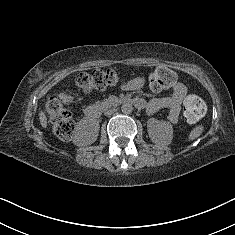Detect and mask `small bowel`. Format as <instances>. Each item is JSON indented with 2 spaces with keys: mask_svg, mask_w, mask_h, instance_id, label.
I'll list each match as a JSON object with an SVG mask.
<instances>
[{
  "mask_svg": "<svg viewBox=\"0 0 235 235\" xmlns=\"http://www.w3.org/2000/svg\"><path fill=\"white\" fill-rule=\"evenodd\" d=\"M188 94V88L183 83H175L172 87V94L168 97L153 98L145 101L141 98L135 100L140 101L141 108H144L148 114H154L162 109H167V120L171 123H176L179 118L182 101Z\"/></svg>",
  "mask_w": 235,
  "mask_h": 235,
  "instance_id": "1",
  "label": "small bowel"
}]
</instances>
